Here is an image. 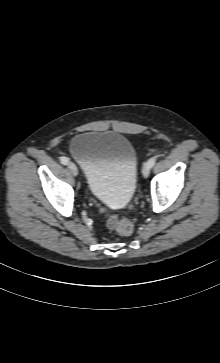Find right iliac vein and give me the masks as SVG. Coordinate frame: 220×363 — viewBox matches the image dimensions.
Listing matches in <instances>:
<instances>
[{
  "mask_svg": "<svg viewBox=\"0 0 220 363\" xmlns=\"http://www.w3.org/2000/svg\"><path fill=\"white\" fill-rule=\"evenodd\" d=\"M68 168H69V170L71 171V173H72L74 176H77V175H78V169H77V166H76L73 162H69V163H68Z\"/></svg>",
  "mask_w": 220,
  "mask_h": 363,
  "instance_id": "right-iliac-vein-1",
  "label": "right iliac vein"
}]
</instances>
